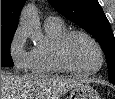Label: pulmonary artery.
Instances as JSON below:
<instances>
[{
    "label": "pulmonary artery",
    "mask_w": 115,
    "mask_h": 99,
    "mask_svg": "<svg viewBox=\"0 0 115 99\" xmlns=\"http://www.w3.org/2000/svg\"><path fill=\"white\" fill-rule=\"evenodd\" d=\"M47 20H59V19L56 17H49Z\"/></svg>",
    "instance_id": "pulmonary-artery-1"
}]
</instances>
